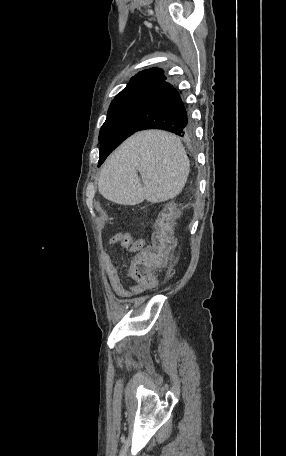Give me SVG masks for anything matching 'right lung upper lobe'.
Returning <instances> with one entry per match:
<instances>
[{"label": "right lung upper lobe", "mask_w": 286, "mask_h": 456, "mask_svg": "<svg viewBox=\"0 0 286 456\" xmlns=\"http://www.w3.org/2000/svg\"><path fill=\"white\" fill-rule=\"evenodd\" d=\"M166 80V76L163 74V71L158 68H151L144 70L140 73H138L136 76H134L131 81L128 83V85L115 97L113 101H117L128 95L130 92L159 82Z\"/></svg>", "instance_id": "obj_1"}]
</instances>
